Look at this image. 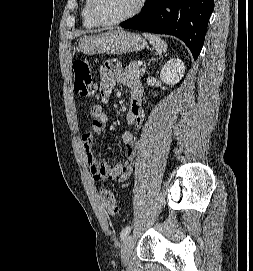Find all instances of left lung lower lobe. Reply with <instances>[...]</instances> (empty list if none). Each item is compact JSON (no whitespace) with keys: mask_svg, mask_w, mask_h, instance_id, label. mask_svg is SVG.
Here are the masks:
<instances>
[{"mask_svg":"<svg viewBox=\"0 0 253 271\" xmlns=\"http://www.w3.org/2000/svg\"><path fill=\"white\" fill-rule=\"evenodd\" d=\"M214 0H147L142 12L122 27L174 35L196 60L204 43Z\"/></svg>","mask_w":253,"mask_h":271,"instance_id":"left-lung-lower-lobe-1","label":"left lung lower lobe"}]
</instances>
